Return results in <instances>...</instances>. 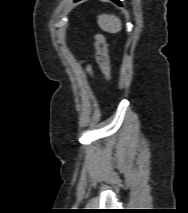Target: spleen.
<instances>
[{
  "label": "spleen",
  "mask_w": 188,
  "mask_h": 213,
  "mask_svg": "<svg viewBox=\"0 0 188 213\" xmlns=\"http://www.w3.org/2000/svg\"><path fill=\"white\" fill-rule=\"evenodd\" d=\"M98 24L103 31L108 33H118L122 29L121 21L115 15H100L98 17Z\"/></svg>",
  "instance_id": "3e777b00"
}]
</instances>
